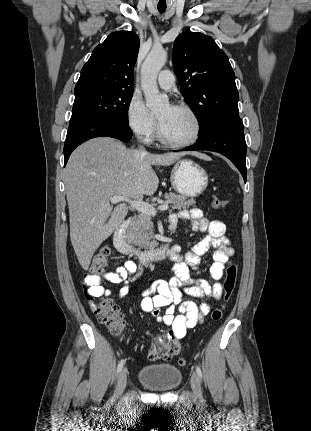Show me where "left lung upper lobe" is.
<instances>
[{"label":"left lung upper lobe","instance_id":"left-lung-upper-lobe-1","mask_svg":"<svg viewBox=\"0 0 311 431\" xmlns=\"http://www.w3.org/2000/svg\"><path fill=\"white\" fill-rule=\"evenodd\" d=\"M172 57L180 90L200 125L199 138L225 121L240 119L234 71L211 37L181 33L175 39Z\"/></svg>","mask_w":311,"mask_h":431}]
</instances>
